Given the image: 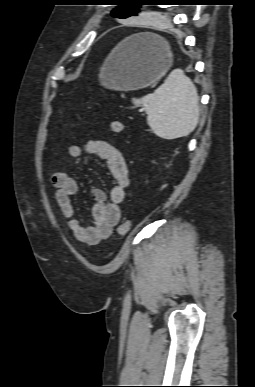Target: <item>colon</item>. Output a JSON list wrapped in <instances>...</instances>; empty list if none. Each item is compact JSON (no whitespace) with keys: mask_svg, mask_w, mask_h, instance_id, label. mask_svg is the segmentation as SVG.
Returning <instances> with one entry per match:
<instances>
[{"mask_svg":"<svg viewBox=\"0 0 255 387\" xmlns=\"http://www.w3.org/2000/svg\"><path fill=\"white\" fill-rule=\"evenodd\" d=\"M109 126L111 131L116 134H123L125 132V126L121 121L112 120ZM131 226H132V222L129 219L124 220L117 227L118 234L121 236L126 235L130 231Z\"/></svg>","mask_w":255,"mask_h":387,"instance_id":"1","label":"colon"}]
</instances>
